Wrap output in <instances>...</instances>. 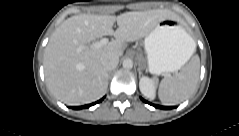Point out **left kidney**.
<instances>
[{"label":"left kidney","instance_id":"5707ae66","mask_svg":"<svg viewBox=\"0 0 239 136\" xmlns=\"http://www.w3.org/2000/svg\"><path fill=\"white\" fill-rule=\"evenodd\" d=\"M139 89L141 93L147 98L152 100L155 99L156 86H155V82L151 78L147 76L141 77L139 81Z\"/></svg>","mask_w":239,"mask_h":136}]
</instances>
